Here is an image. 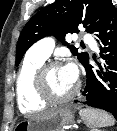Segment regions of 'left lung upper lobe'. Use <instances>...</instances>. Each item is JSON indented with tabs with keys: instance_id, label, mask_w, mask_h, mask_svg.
Segmentation results:
<instances>
[{
	"instance_id": "5c2ea615",
	"label": "left lung upper lobe",
	"mask_w": 117,
	"mask_h": 131,
	"mask_svg": "<svg viewBox=\"0 0 117 131\" xmlns=\"http://www.w3.org/2000/svg\"><path fill=\"white\" fill-rule=\"evenodd\" d=\"M110 0H56L36 13L24 26L17 42L16 66L23 55L36 41L56 36L77 56L82 65L89 59L86 52L78 53L74 45L65 42L69 32L78 33V25L83 24L88 33L96 32L101 18Z\"/></svg>"
}]
</instances>
